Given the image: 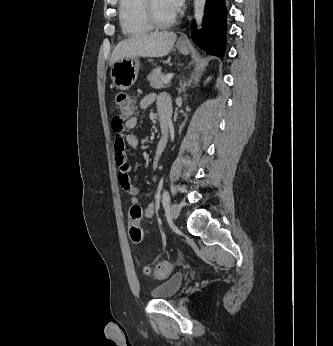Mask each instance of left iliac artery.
I'll return each instance as SVG.
<instances>
[{
  "label": "left iliac artery",
  "mask_w": 333,
  "mask_h": 346,
  "mask_svg": "<svg viewBox=\"0 0 333 346\" xmlns=\"http://www.w3.org/2000/svg\"><path fill=\"white\" fill-rule=\"evenodd\" d=\"M170 203V196L167 190H164L162 195V204L164 208H168Z\"/></svg>",
  "instance_id": "obj_1"
}]
</instances>
